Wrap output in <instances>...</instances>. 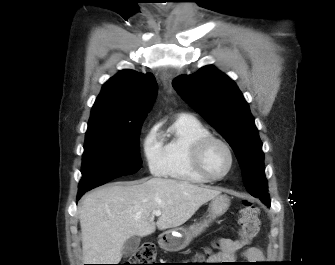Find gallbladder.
Instances as JSON below:
<instances>
[{"label":"gallbladder","mask_w":335,"mask_h":265,"mask_svg":"<svg viewBox=\"0 0 335 265\" xmlns=\"http://www.w3.org/2000/svg\"><path fill=\"white\" fill-rule=\"evenodd\" d=\"M140 245V238L137 236L130 237L126 240L124 243L123 249H122V255L125 257H129L132 254H134L138 247Z\"/></svg>","instance_id":"obj_1"}]
</instances>
